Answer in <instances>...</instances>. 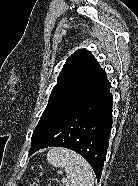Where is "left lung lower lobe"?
Here are the masks:
<instances>
[{
    "label": "left lung lower lobe",
    "instance_id": "left-lung-lower-lobe-1",
    "mask_svg": "<svg viewBox=\"0 0 138 186\" xmlns=\"http://www.w3.org/2000/svg\"><path fill=\"white\" fill-rule=\"evenodd\" d=\"M106 79L31 144L29 155L47 147L69 148L84 157L100 180L112 127V95Z\"/></svg>",
    "mask_w": 138,
    "mask_h": 186
}]
</instances>
